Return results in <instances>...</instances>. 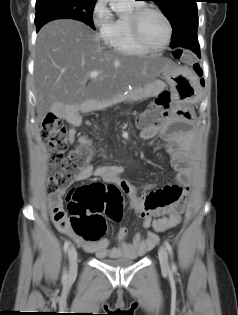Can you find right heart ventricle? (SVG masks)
Returning <instances> with one entry per match:
<instances>
[{
	"instance_id": "obj_1",
	"label": "right heart ventricle",
	"mask_w": 238,
	"mask_h": 315,
	"mask_svg": "<svg viewBox=\"0 0 238 315\" xmlns=\"http://www.w3.org/2000/svg\"><path fill=\"white\" fill-rule=\"evenodd\" d=\"M141 6V3L133 2L130 11L120 13L112 20L103 36L104 43L110 49L124 55H143L148 53L147 50L135 42L130 30V14L134 9Z\"/></svg>"
}]
</instances>
